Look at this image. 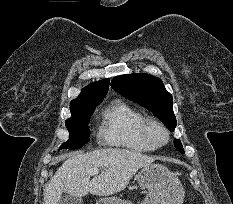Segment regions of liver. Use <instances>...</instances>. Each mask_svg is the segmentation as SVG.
I'll return each mask as SVG.
<instances>
[{
    "label": "liver",
    "instance_id": "6515ba94",
    "mask_svg": "<svg viewBox=\"0 0 233 204\" xmlns=\"http://www.w3.org/2000/svg\"><path fill=\"white\" fill-rule=\"evenodd\" d=\"M153 161L144 154L120 148L71 154L50 179L43 204H59L62 193L75 197L88 193L113 195L125 189L133 175ZM90 169H100L101 173L90 180Z\"/></svg>",
    "mask_w": 233,
    "mask_h": 204
}]
</instances>
